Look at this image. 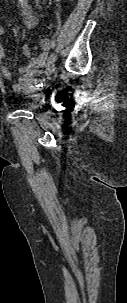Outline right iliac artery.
Segmentation results:
<instances>
[{"mask_svg": "<svg viewBox=\"0 0 127 303\" xmlns=\"http://www.w3.org/2000/svg\"><path fill=\"white\" fill-rule=\"evenodd\" d=\"M55 59H56L55 54L54 53L51 54L50 57H49V59H48L47 66H50L51 64H53L54 61H55Z\"/></svg>", "mask_w": 127, "mask_h": 303, "instance_id": "82829eb1", "label": "right iliac artery"}]
</instances>
